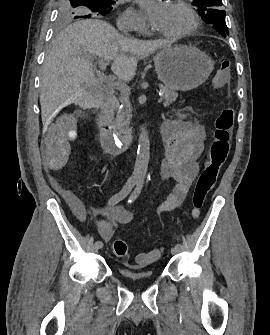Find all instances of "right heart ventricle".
Segmentation results:
<instances>
[{
    "label": "right heart ventricle",
    "mask_w": 270,
    "mask_h": 335,
    "mask_svg": "<svg viewBox=\"0 0 270 335\" xmlns=\"http://www.w3.org/2000/svg\"><path fill=\"white\" fill-rule=\"evenodd\" d=\"M160 78H173V77H160Z\"/></svg>",
    "instance_id": "right-heart-ventricle-1"
}]
</instances>
